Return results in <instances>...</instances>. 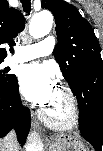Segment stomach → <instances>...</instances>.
<instances>
[{"label": "stomach", "mask_w": 103, "mask_h": 151, "mask_svg": "<svg viewBox=\"0 0 103 151\" xmlns=\"http://www.w3.org/2000/svg\"><path fill=\"white\" fill-rule=\"evenodd\" d=\"M49 151H88L78 136L59 134L48 143Z\"/></svg>", "instance_id": "1"}]
</instances>
